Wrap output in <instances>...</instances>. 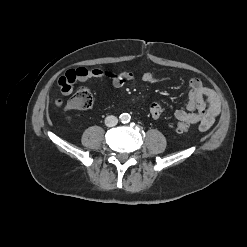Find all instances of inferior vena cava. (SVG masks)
<instances>
[{
	"instance_id": "602c4592",
	"label": "inferior vena cava",
	"mask_w": 247,
	"mask_h": 247,
	"mask_svg": "<svg viewBox=\"0 0 247 247\" xmlns=\"http://www.w3.org/2000/svg\"><path fill=\"white\" fill-rule=\"evenodd\" d=\"M117 123H118V119H117V117H115L113 115L107 116L105 118V125L107 127H113V126L117 125Z\"/></svg>"
}]
</instances>
